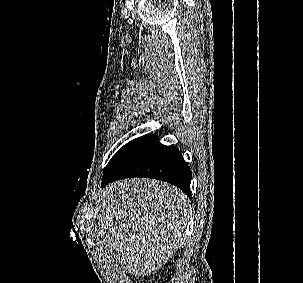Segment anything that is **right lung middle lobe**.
I'll return each instance as SVG.
<instances>
[{
  "label": "right lung middle lobe",
  "instance_id": "right-lung-middle-lobe-1",
  "mask_svg": "<svg viewBox=\"0 0 303 283\" xmlns=\"http://www.w3.org/2000/svg\"><path fill=\"white\" fill-rule=\"evenodd\" d=\"M138 140V138L128 142L127 144H125L122 148H120V150H118V152L111 158V160L109 161V163L107 164L105 170H104V174H106L107 172H109L116 164L117 162L122 158V156L124 155V153ZM103 174V175H104Z\"/></svg>",
  "mask_w": 303,
  "mask_h": 283
}]
</instances>
